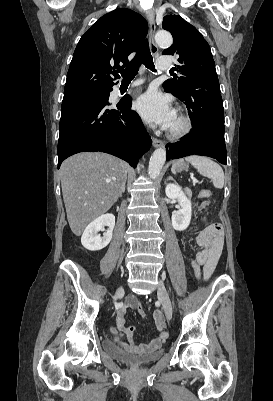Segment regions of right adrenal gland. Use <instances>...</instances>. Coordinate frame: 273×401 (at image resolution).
<instances>
[{"label": "right adrenal gland", "mask_w": 273, "mask_h": 401, "mask_svg": "<svg viewBox=\"0 0 273 401\" xmlns=\"http://www.w3.org/2000/svg\"><path fill=\"white\" fill-rule=\"evenodd\" d=\"M125 182H126V180H125ZM124 190H125V184H124ZM124 190H123V192H124Z\"/></svg>", "instance_id": "right-adrenal-gland-1"}]
</instances>
